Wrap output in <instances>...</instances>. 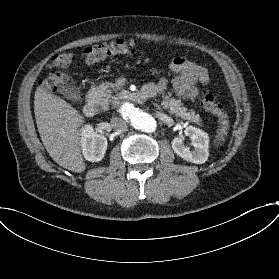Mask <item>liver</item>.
I'll return each mask as SVG.
<instances>
[{"label":"liver","instance_id":"obj_1","mask_svg":"<svg viewBox=\"0 0 279 279\" xmlns=\"http://www.w3.org/2000/svg\"><path fill=\"white\" fill-rule=\"evenodd\" d=\"M34 105L38 132L52 160L69 171L85 172L80 136L84 117L43 86L36 90Z\"/></svg>","mask_w":279,"mask_h":279}]
</instances>
